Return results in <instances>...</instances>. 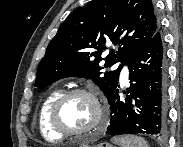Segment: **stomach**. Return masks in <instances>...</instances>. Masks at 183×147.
Masks as SVG:
<instances>
[{
    "label": "stomach",
    "mask_w": 183,
    "mask_h": 147,
    "mask_svg": "<svg viewBox=\"0 0 183 147\" xmlns=\"http://www.w3.org/2000/svg\"><path fill=\"white\" fill-rule=\"evenodd\" d=\"M93 147H113V146L109 143H100V144H97Z\"/></svg>",
    "instance_id": "0dacf381"
}]
</instances>
